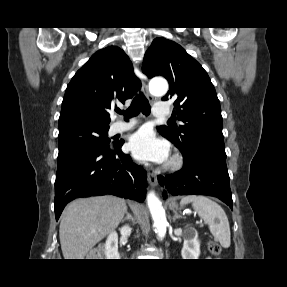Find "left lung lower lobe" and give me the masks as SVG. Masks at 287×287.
Masks as SVG:
<instances>
[{"label": "left lung lower lobe", "mask_w": 287, "mask_h": 287, "mask_svg": "<svg viewBox=\"0 0 287 287\" xmlns=\"http://www.w3.org/2000/svg\"><path fill=\"white\" fill-rule=\"evenodd\" d=\"M158 179L165 190L164 197H167V194L215 196L232 209L226 162L204 156L194 161L184 158V166L180 171L166 177L160 176Z\"/></svg>", "instance_id": "1"}]
</instances>
